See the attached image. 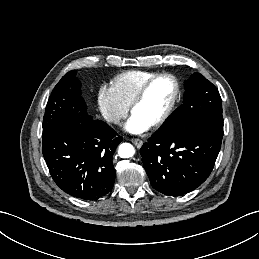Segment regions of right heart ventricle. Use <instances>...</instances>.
<instances>
[{"label":"right heart ventricle","instance_id":"right-heart-ventricle-1","mask_svg":"<svg viewBox=\"0 0 259 259\" xmlns=\"http://www.w3.org/2000/svg\"><path fill=\"white\" fill-rule=\"evenodd\" d=\"M155 74L141 70L125 71L113 78L111 88L127 106H130L141 86Z\"/></svg>","mask_w":259,"mask_h":259}]
</instances>
